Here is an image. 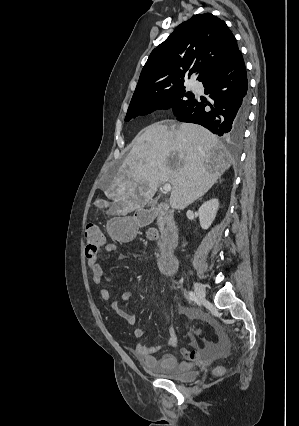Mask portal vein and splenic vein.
<instances>
[{
  "label": "portal vein and splenic vein",
  "instance_id": "18ae733b",
  "mask_svg": "<svg viewBox=\"0 0 299 426\" xmlns=\"http://www.w3.org/2000/svg\"><path fill=\"white\" fill-rule=\"evenodd\" d=\"M164 192H170L172 190V186L169 183L163 185Z\"/></svg>",
  "mask_w": 299,
  "mask_h": 426
}]
</instances>
